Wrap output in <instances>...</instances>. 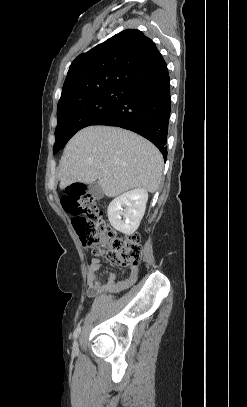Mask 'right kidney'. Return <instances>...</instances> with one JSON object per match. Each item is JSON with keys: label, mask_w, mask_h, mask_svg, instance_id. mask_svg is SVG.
Returning a JSON list of instances; mask_svg holds the SVG:
<instances>
[{"label": "right kidney", "mask_w": 247, "mask_h": 407, "mask_svg": "<svg viewBox=\"0 0 247 407\" xmlns=\"http://www.w3.org/2000/svg\"><path fill=\"white\" fill-rule=\"evenodd\" d=\"M147 200L148 192L142 188L125 192L112 200L107 213L113 228L127 235L134 233L144 216Z\"/></svg>", "instance_id": "right-kidney-1"}]
</instances>
